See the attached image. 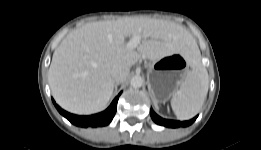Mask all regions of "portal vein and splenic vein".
<instances>
[{
	"mask_svg": "<svg viewBox=\"0 0 261 150\" xmlns=\"http://www.w3.org/2000/svg\"><path fill=\"white\" fill-rule=\"evenodd\" d=\"M140 41H141V35H136L129 40V42L127 43V47L131 49L136 48L140 43Z\"/></svg>",
	"mask_w": 261,
	"mask_h": 150,
	"instance_id": "18ae733b",
	"label": "portal vein and splenic vein"
}]
</instances>
